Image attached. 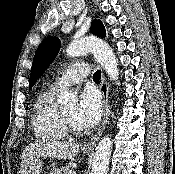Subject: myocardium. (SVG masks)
I'll return each instance as SVG.
<instances>
[{"label": "myocardium", "mask_w": 175, "mask_h": 174, "mask_svg": "<svg viewBox=\"0 0 175 174\" xmlns=\"http://www.w3.org/2000/svg\"><path fill=\"white\" fill-rule=\"evenodd\" d=\"M61 115V120L63 123V126L66 130V133L72 134V135H77L80 134V130L79 128H77L71 121L70 119H68L65 114L61 111L60 112Z\"/></svg>", "instance_id": "1"}]
</instances>
